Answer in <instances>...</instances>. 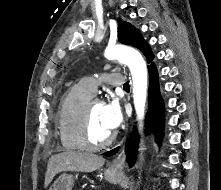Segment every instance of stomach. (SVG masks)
I'll list each match as a JSON object with an SVG mask.
<instances>
[{"mask_svg":"<svg viewBox=\"0 0 221 190\" xmlns=\"http://www.w3.org/2000/svg\"><path fill=\"white\" fill-rule=\"evenodd\" d=\"M105 179L111 183H117L121 174L111 168L104 172ZM74 177L70 174L60 175L52 184L49 190H72Z\"/></svg>","mask_w":221,"mask_h":190,"instance_id":"stomach-1","label":"stomach"}]
</instances>
